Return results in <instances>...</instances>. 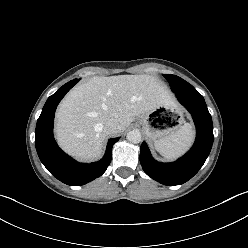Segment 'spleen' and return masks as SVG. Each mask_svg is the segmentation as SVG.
I'll return each instance as SVG.
<instances>
[{
  "label": "spleen",
  "mask_w": 248,
  "mask_h": 248,
  "mask_svg": "<svg viewBox=\"0 0 248 248\" xmlns=\"http://www.w3.org/2000/svg\"><path fill=\"white\" fill-rule=\"evenodd\" d=\"M194 139L192 125L185 123L168 136L155 141V149L165 158L171 160L181 156L191 146Z\"/></svg>",
  "instance_id": "3e777b00"
}]
</instances>
